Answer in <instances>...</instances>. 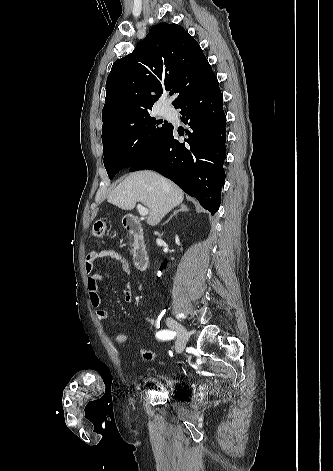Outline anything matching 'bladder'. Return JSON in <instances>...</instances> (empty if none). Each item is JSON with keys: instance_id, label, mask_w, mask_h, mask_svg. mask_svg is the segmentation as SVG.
Masks as SVG:
<instances>
[{"instance_id": "31cf9c89", "label": "bladder", "mask_w": 333, "mask_h": 471, "mask_svg": "<svg viewBox=\"0 0 333 471\" xmlns=\"http://www.w3.org/2000/svg\"><path fill=\"white\" fill-rule=\"evenodd\" d=\"M148 374H152L162 381L167 387L169 394L172 396H182L183 394H188L190 391L188 384L184 380L172 374L156 372H148Z\"/></svg>"}]
</instances>
